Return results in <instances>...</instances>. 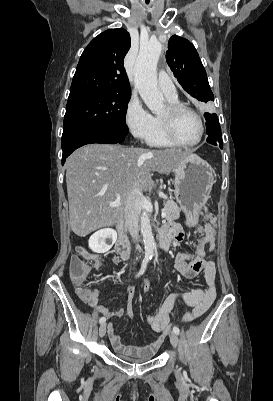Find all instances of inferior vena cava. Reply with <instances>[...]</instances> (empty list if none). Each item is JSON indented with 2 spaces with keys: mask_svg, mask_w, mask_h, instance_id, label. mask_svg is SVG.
<instances>
[{
  "mask_svg": "<svg viewBox=\"0 0 273 401\" xmlns=\"http://www.w3.org/2000/svg\"><path fill=\"white\" fill-rule=\"evenodd\" d=\"M143 194L141 192V188L139 186H132L131 190V201L127 203L125 207V221L128 227V231L133 239V241H137L139 237V229H138V219H139V211H138V203L141 201Z\"/></svg>",
  "mask_w": 273,
  "mask_h": 401,
  "instance_id": "602c4592",
  "label": "inferior vena cava"
}]
</instances>
